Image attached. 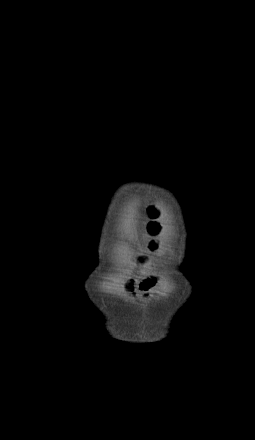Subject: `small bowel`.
<instances>
[{
	"mask_svg": "<svg viewBox=\"0 0 255 440\" xmlns=\"http://www.w3.org/2000/svg\"><path fill=\"white\" fill-rule=\"evenodd\" d=\"M156 278L153 276H146L142 278L138 283H135L134 281H129L126 284V292L132 293L136 289L142 291V292H149L156 286Z\"/></svg>",
	"mask_w": 255,
	"mask_h": 440,
	"instance_id": "1",
	"label": "small bowel"
}]
</instances>
